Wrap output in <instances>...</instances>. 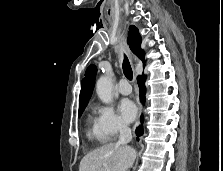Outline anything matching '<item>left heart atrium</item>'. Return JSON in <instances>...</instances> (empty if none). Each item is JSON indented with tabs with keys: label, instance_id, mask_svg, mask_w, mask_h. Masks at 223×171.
<instances>
[{
	"label": "left heart atrium",
	"instance_id": "39dd6f15",
	"mask_svg": "<svg viewBox=\"0 0 223 171\" xmlns=\"http://www.w3.org/2000/svg\"><path fill=\"white\" fill-rule=\"evenodd\" d=\"M119 112L126 122H132L137 115L136 105L129 99L121 101Z\"/></svg>",
	"mask_w": 223,
	"mask_h": 171
}]
</instances>
